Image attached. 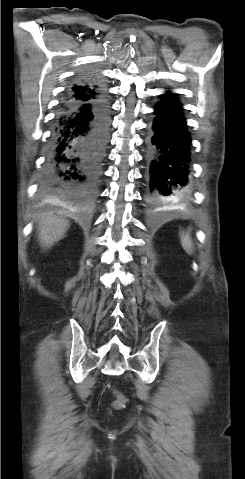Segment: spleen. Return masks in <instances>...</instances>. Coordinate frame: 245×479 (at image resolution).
Instances as JSON below:
<instances>
[{
    "label": "spleen",
    "instance_id": "3e777b00",
    "mask_svg": "<svg viewBox=\"0 0 245 479\" xmlns=\"http://www.w3.org/2000/svg\"><path fill=\"white\" fill-rule=\"evenodd\" d=\"M181 245L187 254L193 253V242L190 234L188 232H182L181 234Z\"/></svg>",
    "mask_w": 245,
    "mask_h": 479
}]
</instances>
